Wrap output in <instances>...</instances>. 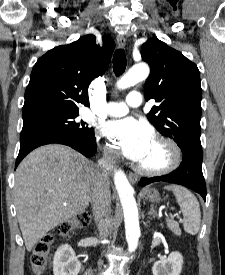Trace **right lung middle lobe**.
I'll use <instances>...</instances> for the list:
<instances>
[{"instance_id": "1", "label": "right lung middle lobe", "mask_w": 225, "mask_h": 275, "mask_svg": "<svg viewBox=\"0 0 225 275\" xmlns=\"http://www.w3.org/2000/svg\"><path fill=\"white\" fill-rule=\"evenodd\" d=\"M78 110L47 111L23 116V128L48 127L67 132L80 138L94 137L93 128L77 119Z\"/></svg>"}]
</instances>
